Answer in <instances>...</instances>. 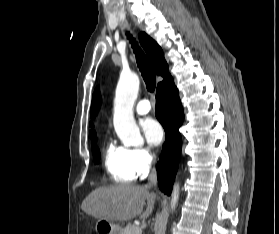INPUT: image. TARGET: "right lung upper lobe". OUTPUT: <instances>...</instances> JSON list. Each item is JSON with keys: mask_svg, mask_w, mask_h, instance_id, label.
<instances>
[{"mask_svg": "<svg viewBox=\"0 0 279 234\" xmlns=\"http://www.w3.org/2000/svg\"><path fill=\"white\" fill-rule=\"evenodd\" d=\"M139 38H140L141 45L143 46L144 50L146 51L152 65L155 69L156 74L161 75L164 78V80L162 82L166 81L168 78L171 77V75L168 72V65L164 59V54H163L162 49L152 38H150L144 32H142L140 34ZM90 126H91V124H90ZM89 136L93 141L97 140L95 131L91 130L89 132ZM93 144L94 143H92V145Z\"/></svg>", "mask_w": 279, "mask_h": 234, "instance_id": "cb5924a9", "label": "right lung upper lobe"}]
</instances>
